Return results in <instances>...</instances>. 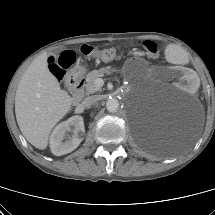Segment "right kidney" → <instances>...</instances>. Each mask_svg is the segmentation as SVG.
Wrapping results in <instances>:
<instances>
[{
	"instance_id": "right-kidney-1",
	"label": "right kidney",
	"mask_w": 215,
	"mask_h": 215,
	"mask_svg": "<svg viewBox=\"0 0 215 215\" xmlns=\"http://www.w3.org/2000/svg\"><path fill=\"white\" fill-rule=\"evenodd\" d=\"M71 130L72 135L65 141V133ZM85 133L82 116H72L67 121L58 124L50 136V149L56 156L68 154L75 150L83 140Z\"/></svg>"
}]
</instances>
